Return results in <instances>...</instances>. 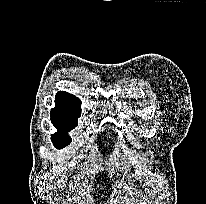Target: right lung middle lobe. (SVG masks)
I'll use <instances>...</instances> for the list:
<instances>
[{
	"mask_svg": "<svg viewBox=\"0 0 206 204\" xmlns=\"http://www.w3.org/2000/svg\"><path fill=\"white\" fill-rule=\"evenodd\" d=\"M78 116L51 113V122L57 128V133L51 136V140L57 149H62L71 143V137L67 134L68 131L77 126Z\"/></svg>",
	"mask_w": 206,
	"mask_h": 204,
	"instance_id": "right-lung-middle-lobe-1",
	"label": "right lung middle lobe"
}]
</instances>
